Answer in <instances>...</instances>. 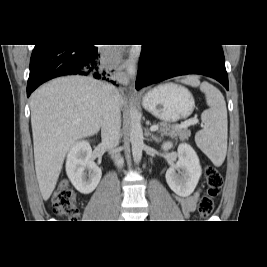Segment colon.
Here are the masks:
<instances>
[{
	"mask_svg": "<svg viewBox=\"0 0 267 267\" xmlns=\"http://www.w3.org/2000/svg\"><path fill=\"white\" fill-rule=\"evenodd\" d=\"M206 191L198 204V213L202 218L211 215L214 201L223 187L222 174L212 166L205 169ZM53 212L62 217L74 220L79 216V208L75 193L68 181H62L56 188L52 197Z\"/></svg>",
	"mask_w": 267,
	"mask_h": 267,
	"instance_id": "1",
	"label": "colon"
}]
</instances>
